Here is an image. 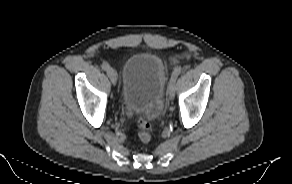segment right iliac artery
<instances>
[{
  "label": "right iliac artery",
  "mask_w": 292,
  "mask_h": 184,
  "mask_svg": "<svg viewBox=\"0 0 292 184\" xmlns=\"http://www.w3.org/2000/svg\"><path fill=\"white\" fill-rule=\"evenodd\" d=\"M101 67H102V69L105 70V71H108V70L110 69V66H109V64H108L107 62H103V63L101 64Z\"/></svg>",
  "instance_id": "right-iliac-artery-1"
}]
</instances>
